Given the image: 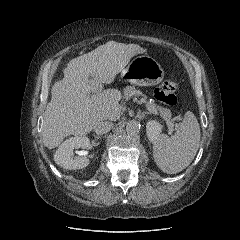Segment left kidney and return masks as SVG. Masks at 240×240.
Returning a JSON list of instances; mask_svg holds the SVG:
<instances>
[{"label": "left kidney", "instance_id": "1", "mask_svg": "<svg viewBox=\"0 0 240 240\" xmlns=\"http://www.w3.org/2000/svg\"><path fill=\"white\" fill-rule=\"evenodd\" d=\"M162 125L156 120H149L146 124L147 137L151 142L156 141L160 137Z\"/></svg>", "mask_w": 240, "mask_h": 240}]
</instances>
